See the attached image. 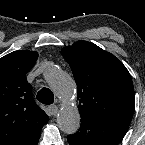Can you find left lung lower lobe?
<instances>
[{
  "instance_id": "0a47b994",
  "label": "left lung lower lobe",
  "mask_w": 145,
  "mask_h": 145,
  "mask_svg": "<svg viewBox=\"0 0 145 145\" xmlns=\"http://www.w3.org/2000/svg\"><path fill=\"white\" fill-rule=\"evenodd\" d=\"M129 125L125 120L81 119L79 130L67 140L70 145H118Z\"/></svg>"
}]
</instances>
